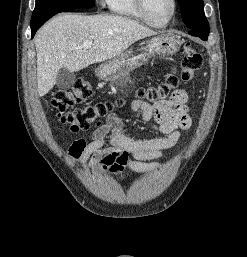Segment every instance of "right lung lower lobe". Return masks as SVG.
I'll list each match as a JSON object with an SVG mask.
<instances>
[{"mask_svg": "<svg viewBox=\"0 0 247 257\" xmlns=\"http://www.w3.org/2000/svg\"><path fill=\"white\" fill-rule=\"evenodd\" d=\"M73 11V10H71ZM65 12H69V11H65ZM55 14L57 13H54V14H50V15H47L45 17H42L36 21H33L31 22V38L34 37L36 31L48 20L50 19L52 16H54Z\"/></svg>", "mask_w": 247, "mask_h": 257, "instance_id": "right-lung-lower-lobe-1", "label": "right lung lower lobe"}]
</instances>
